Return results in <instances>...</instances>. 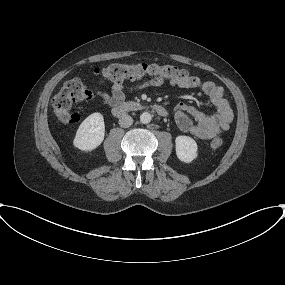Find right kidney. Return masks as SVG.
Returning a JSON list of instances; mask_svg holds the SVG:
<instances>
[{"label":"right kidney","mask_w":285,"mask_h":285,"mask_svg":"<svg viewBox=\"0 0 285 285\" xmlns=\"http://www.w3.org/2000/svg\"><path fill=\"white\" fill-rule=\"evenodd\" d=\"M104 135V118L100 113H93L80 124L73 145L82 151H92L103 142Z\"/></svg>","instance_id":"ca27d5eb"}]
</instances>
